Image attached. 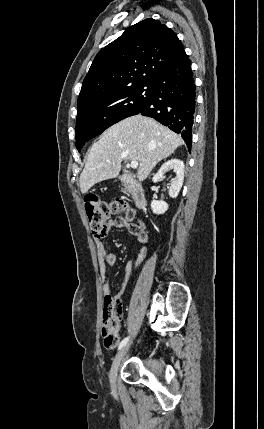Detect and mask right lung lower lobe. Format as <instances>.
<instances>
[{"mask_svg":"<svg viewBox=\"0 0 264 429\" xmlns=\"http://www.w3.org/2000/svg\"><path fill=\"white\" fill-rule=\"evenodd\" d=\"M152 95L138 114L156 119L192 143L195 84L185 51L154 82Z\"/></svg>","mask_w":264,"mask_h":429,"instance_id":"obj_1","label":"right lung lower lobe"}]
</instances>
